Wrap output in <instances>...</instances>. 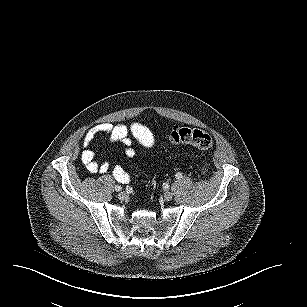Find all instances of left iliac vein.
<instances>
[{"mask_svg":"<svg viewBox=\"0 0 307 307\" xmlns=\"http://www.w3.org/2000/svg\"><path fill=\"white\" fill-rule=\"evenodd\" d=\"M174 194L171 191H166L163 194L165 200L170 201L173 198Z\"/></svg>","mask_w":307,"mask_h":307,"instance_id":"obj_1","label":"left iliac vein"}]
</instances>
